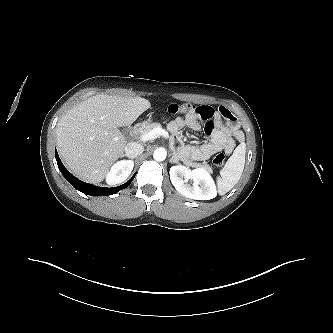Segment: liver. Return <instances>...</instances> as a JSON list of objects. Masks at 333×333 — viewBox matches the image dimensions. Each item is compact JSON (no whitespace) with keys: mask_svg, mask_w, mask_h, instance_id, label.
Listing matches in <instances>:
<instances>
[{"mask_svg":"<svg viewBox=\"0 0 333 333\" xmlns=\"http://www.w3.org/2000/svg\"><path fill=\"white\" fill-rule=\"evenodd\" d=\"M150 102L141 97L98 94L69 110L57 123V147L66 167L98 184L123 157L126 140L118 127L131 125Z\"/></svg>","mask_w":333,"mask_h":333,"instance_id":"liver-1","label":"liver"}]
</instances>
